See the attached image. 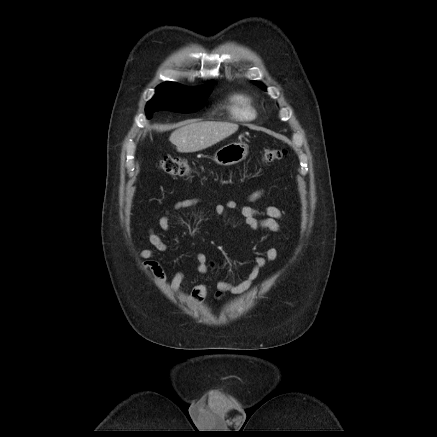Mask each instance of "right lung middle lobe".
Returning a JSON list of instances; mask_svg holds the SVG:
<instances>
[{
	"label": "right lung middle lobe",
	"mask_w": 437,
	"mask_h": 437,
	"mask_svg": "<svg viewBox=\"0 0 437 437\" xmlns=\"http://www.w3.org/2000/svg\"><path fill=\"white\" fill-rule=\"evenodd\" d=\"M212 90L213 85L188 90L176 83H163L157 87L156 95L147 103L146 115L150 119L152 113L159 110L195 112L203 106Z\"/></svg>",
	"instance_id": "1"
}]
</instances>
